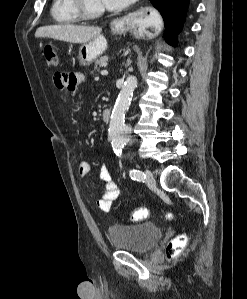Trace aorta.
<instances>
[{
  "mask_svg": "<svg viewBox=\"0 0 247 299\" xmlns=\"http://www.w3.org/2000/svg\"><path fill=\"white\" fill-rule=\"evenodd\" d=\"M136 87V77L128 76L112 110L108 132L111 137L112 148L116 154L122 152L124 145L129 142L131 137V129L125 124V115L130 107Z\"/></svg>",
  "mask_w": 247,
  "mask_h": 299,
  "instance_id": "1",
  "label": "aorta"
}]
</instances>
